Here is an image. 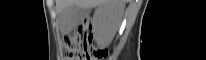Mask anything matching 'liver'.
<instances>
[{"label":"liver","mask_w":206,"mask_h":60,"mask_svg":"<svg viewBox=\"0 0 206 60\" xmlns=\"http://www.w3.org/2000/svg\"><path fill=\"white\" fill-rule=\"evenodd\" d=\"M125 3L126 0H56V9L60 14L64 9L73 5L85 9L94 8L105 4L114 5L116 8V15L111 29V39H112L121 22Z\"/></svg>","instance_id":"6515ba94"}]
</instances>
